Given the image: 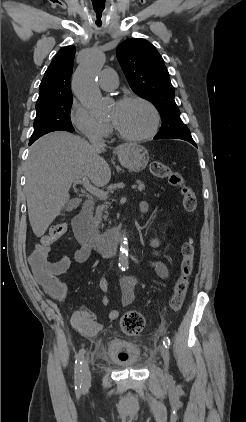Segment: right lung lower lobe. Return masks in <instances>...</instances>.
I'll return each mask as SVG.
<instances>
[{
	"instance_id": "obj_1",
	"label": "right lung lower lobe",
	"mask_w": 246,
	"mask_h": 422,
	"mask_svg": "<svg viewBox=\"0 0 246 422\" xmlns=\"http://www.w3.org/2000/svg\"><path fill=\"white\" fill-rule=\"evenodd\" d=\"M33 142H29V145H31Z\"/></svg>"
}]
</instances>
